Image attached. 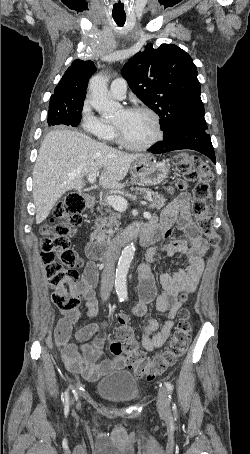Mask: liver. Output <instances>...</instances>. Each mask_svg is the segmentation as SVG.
<instances>
[{
    "instance_id": "obj_1",
    "label": "liver",
    "mask_w": 250,
    "mask_h": 454,
    "mask_svg": "<svg viewBox=\"0 0 250 454\" xmlns=\"http://www.w3.org/2000/svg\"><path fill=\"white\" fill-rule=\"evenodd\" d=\"M141 156L121 152L77 131H51L41 144L33 170L36 223L48 217L66 191L82 189L83 178L90 173L100 174L103 188L122 189L120 181Z\"/></svg>"
}]
</instances>
